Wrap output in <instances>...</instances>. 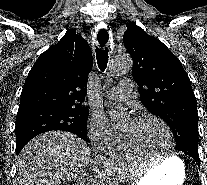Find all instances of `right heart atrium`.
I'll use <instances>...</instances> for the list:
<instances>
[{
    "label": "right heart atrium",
    "mask_w": 207,
    "mask_h": 185,
    "mask_svg": "<svg viewBox=\"0 0 207 185\" xmlns=\"http://www.w3.org/2000/svg\"><path fill=\"white\" fill-rule=\"evenodd\" d=\"M88 131L92 146L99 152H107L120 138V135L112 129L105 117L99 112L92 115Z\"/></svg>",
    "instance_id": "obj_1"
}]
</instances>
